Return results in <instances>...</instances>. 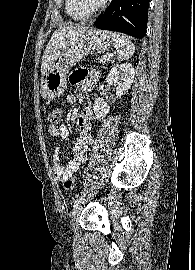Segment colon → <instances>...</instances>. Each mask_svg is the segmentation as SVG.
Segmentation results:
<instances>
[{
  "instance_id": "obj_1",
  "label": "colon",
  "mask_w": 195,
  "mask_h": 270,
  "mask_svg": "<svg viewBox=\"0 0 195 270\" xmlns=\"http://www.w3.org/2000/svg\"><path fill=\"white\" fill-rule=\"evenodd\" d=\"M47 119H48L49 124L57 125L62 119V109L59 107L51 109L49 114H48ZM63 182H64V187L67 190H71L76 186V178L75 177L68 178V179L64 180Z\"/></svg>"
}]
</instances>
